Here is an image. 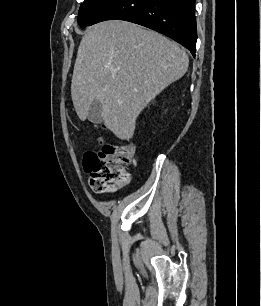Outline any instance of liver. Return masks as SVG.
<instances>
[{"label":"liver","mask_w":261,"mask_h":306,"mask_svg":"<svg viewBox=\"0 0 261 306\" xmlns=\"http://www.w3.org/2000/svg\"><path fill=\"white\" fill-rule=\"evenodd\" d=\"M185 50L167 37L127 21L93 25L83 36L74 65L71 96L80 120L94 100L106 127L130 140L147 104L187 71Z\"/></svg>","instance_id":"1"}]
</instances>
